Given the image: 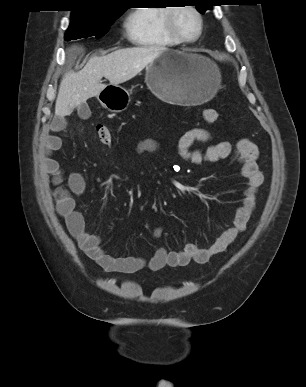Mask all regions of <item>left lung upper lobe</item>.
I'll return each instance as SVG.
<instances>
[{"mask_svg": "<svg viewBox=\"0 0 306 387\" xmlns=\"http://www.w3.org/2000/svg\"><path fill=\"white\" fill-rule=\"evenodd\" d=\"M195 4L196 9L201 14H204L208 9H211V6L216 5L217 0H192Z\"/></svg>", "mask_w": 306, "mask_h": 387, "instance_id": "5c2ea615", "label": "left lung upper lobe"}]
</instances>
